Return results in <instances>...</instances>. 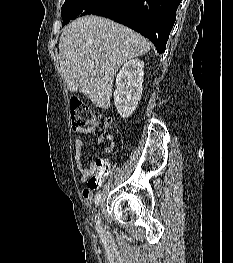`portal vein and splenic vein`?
<instances>
[{
    "label": "portal vein and splenic vein",
    "instance_id": "1",
    "mask_svg": "<svg viewBox=\"0 0 233 263\" xmlns=\"http://www.w3.org/2000/svg\"><path fill=\"white\" fill-rule=\"evenodd\" d=\"M89 65H90V66H93V65H94V63H93V62H90V63H89Z\"/></svg>",
    "mask_w": 233,
    "mask_h": 263
}]
</instances>
